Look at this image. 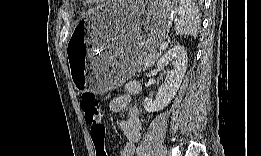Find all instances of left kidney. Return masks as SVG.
Here are the masks:
<instances>
[{"label": "left kidney", "mask_w": 261, "mask_h": 156, "mask_svg": "<svg viewBox=\"0 0 261 156\" xmlns=\"http://www.w3.org/2000/svg\"><path fill=\"white\" fill-rule=\"evenodd\" d=\"M169 62L173 69L167 71L164 83L159 87L156 99L145 98L143 102L146 112H157L165 108L178 91L187 69L188 57L181 45L169 49L157 62V68L163 69Z\"/></svg>", "instance_id": "left-kidney-1"}]
</instances>
